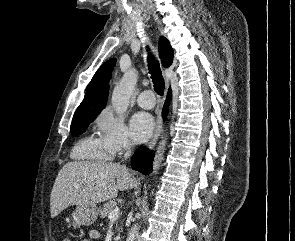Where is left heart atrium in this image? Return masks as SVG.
Here are the masks:
<instances>
[{
    "label": "left heart atrium",
    "instance_id": "obj_1",
    "mask_svg": "<svg viewBox=\"0 0 295 241\" xmlns=\"http://www.w3.org/2000/svg\"><path fill=\"white\" fill-rule=\"evenodd\" d=\"M155 127L153 117L146 112H138L134 114L130 120V131L132 138L138 142L143 143L147 141Z\"/></svg>",
    "mask_w": 295,
    "mask_h": 241
}]
</instances>
